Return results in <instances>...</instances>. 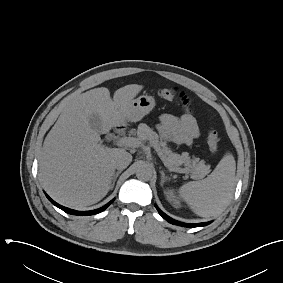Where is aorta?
Wrapping results in <instances>:
<instances>
[{
	"mask_svg": "<svg viewBox=\"0 0 283 283\" xmlns=\"http://www.w3.org/2000/svg\"><path fill=\"white\" fill-rule=\"evenodd\" d=\"M152 169L147 164H141L136 170V176L140 180L148 181L152 177Z\"/></svg>",
	"mask_w": 283,
	"mask_h": 283,
	"instance_id": "762f6f07",
	"label": "aorta"
}]
</instances>
